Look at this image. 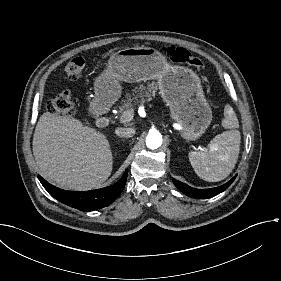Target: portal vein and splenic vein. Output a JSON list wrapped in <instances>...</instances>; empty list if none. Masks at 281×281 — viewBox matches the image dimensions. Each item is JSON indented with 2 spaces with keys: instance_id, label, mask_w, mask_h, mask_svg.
I'll list each match as a JSON object with an SVG mask.
<instances>
[{
  "instance_id": "18ae733b",
  "label": "portal vein and splenic vein",
  "mask_w": 281,
  "mask_h": 281,
  "mask_svg": "<svg viewBox=\"0 0 281 281\" xmlns=\"http://www.w3.org/2000/svg\"><path fill=\"white\" fill-rule=\"evenodd\" d=\"M135 112H136V109L134 107H131L128 110V112L126 113L125 118L123 119V122L125 124H128L130 122V119L132 118V116L135 114ZM207 142H208V145H211V138H208L207 141H201L200 146L207 144Z\"/></svg>"
}]
</instances>
